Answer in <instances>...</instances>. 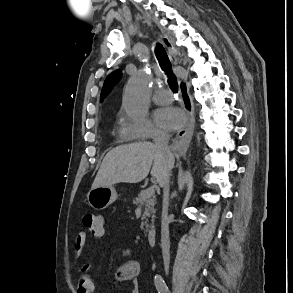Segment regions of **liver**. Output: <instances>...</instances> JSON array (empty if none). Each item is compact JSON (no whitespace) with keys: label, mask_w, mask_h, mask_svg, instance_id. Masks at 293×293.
<instances>
[{"label":"liver","mask_w":293,"mask_h":293,"mask_svg":"<svg viewBox=\"0 0 293 293\" xmlns=\"http://www.w3.org/2000/svg\"><path fill=\"white\" fill-rule=\"evenodd\" d=\"M174 156L169 159L151 142L125 144L113 148L104 157L92 184L111 187L117 183H138L150 172L160 184L174 167Z\"/></svg>","instance_id":"1"}]
</instances>
